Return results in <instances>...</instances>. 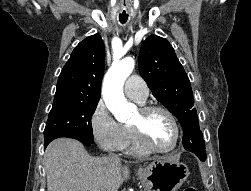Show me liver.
<instances>
[{
	"label": "liver",
	"mask_w": 251,
	"mask_h": 191,
	"mask_svg": "<svg viewBox=\"0 0 251 191\" xmlns=\"http://www.w3.org/2000/svg\"><path fill=\"white\" fill-rule=\"evenodd\" d=\"M48 191H118L129 179L127 165L108 157H92L77 139L58 137L44 153Z\"/></svg>",
	"instance_id": "1"
}]
</instances>
